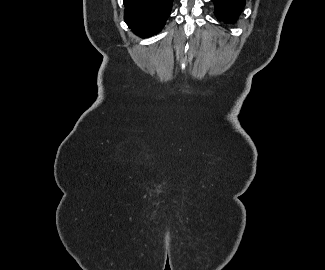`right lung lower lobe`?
<instances>
[{"label":"right lung lower lobe","instance_id":"98d812e1","mask_svg":"<svg viewBox=\"0 0 325 270\" xmlns=\"http://www.w3.org/2000/svg\"><path fill=\"white\" fill-rule=\"evenodd\" d=\"M124 20L140 37L157 34L168 19L173 0H123Z\"/></svg>","mask_w":325,"mask_h":270}]
</instances>
